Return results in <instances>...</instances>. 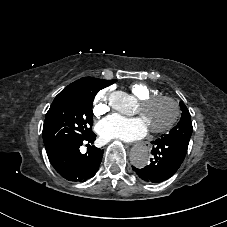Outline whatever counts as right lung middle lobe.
Masks as SVG:
<instances>
[{"instance_id": "right-lung-middle-lobe-1", "label": "right lung middle lobe", "mask_w": 227, "mask_h": 227, "mask_svg": "<svg viewBox=\"0 0 227 227\" xmlns=\"http://www.w3.org/2000/svg\"><path fill=\"white\" fill-rule=\"evenodd\" d=\"M115 82L84 77L64 88L46 113L42 132L46 150L90 133L94 97L99 90Z\"/></svg>"}]
</instances>
